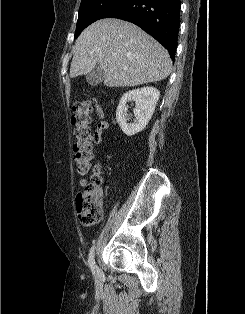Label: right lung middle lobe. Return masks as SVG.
Wrapping results in <instances>:
<instances>
[{
    "mask_svg": "<svg viewBox=\"0 0 245 314\" xmlns=\"http://www.w3.org/2000/svg\"><path fill=\"white\" fill-rule=\"evenodd\" d=\"M128 0H82L76 26L75 38L93 22L102 19L106 14Z\"/></svg>",
    "mask_w": 245,
    "mask_h": 314,
    "instance_id": "obj_1",
    "label": "right lung middle lobe"
}]
</instances>
